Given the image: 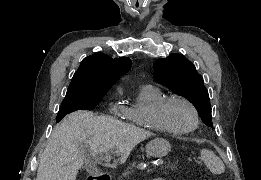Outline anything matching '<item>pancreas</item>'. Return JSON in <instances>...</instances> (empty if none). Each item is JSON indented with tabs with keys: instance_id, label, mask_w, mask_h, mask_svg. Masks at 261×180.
Masks as SVG:
<instances>
[{
	"instance_id": "cf45deb5",
	"label": "pancreas",
	"mask_w": 261,
	"mask_h": 180,
	"mask_svg": "<svg viewBox=\"0 0 261 180\" xmlns=\"http://www.w3.org/2000/svg\"><path fill=\"white\" fill-rule=\"evenodd\" d=\"M140 163H144V160L133 159L132 162L129 163L127 169L119 172L121 178H129L131 175H134V178H140V173L133 172ZM164 163V165H160V170H177L180 165L179 162H177V159H165Z\"/></svg>"
}]
</instances>
